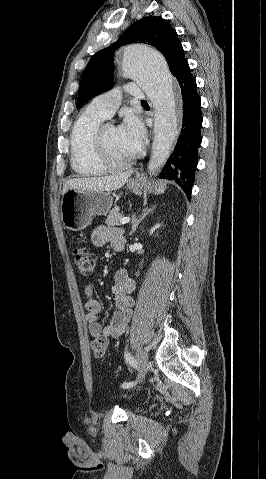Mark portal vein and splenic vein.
Returning <instances> with one entry per match:
<instances>
[{
    "label": "portal vein and splenic vein",
    "mask_w": 266,
    "mask_h": 479,
    "mask_svg": "<svg viewBox=\"0 0 266 479\" xmlns=\"http://www.w3.org/2000/svg\"><path fill=\"white\" fill-rule=\"evenodd\" d=\"M130 222V218L129 217H125V218H121L120 219V224H126Z\"/></svg>",
    "instance_id": "obj_1"
}]
</instances>
